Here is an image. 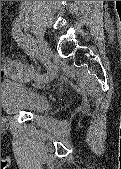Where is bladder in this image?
Listing matches in <instances>:
<instances>
[{
  "label": "bladder",
  "instance_id": "31cf9c89",
  "mask_svg": "<svg viewBox=\"0 0 121 169\" xmlns=\"http://www.w3.org/2000/svg\"><path fill=\"white\" fill-rule=\"evenodd\" d=\"M1 106L7 113H42L49 107L44 94L20 82L4 80L1 83Z\"/></svg>",
  "mask_w": 121,
  "mask_h": 169
}]
</instances>
